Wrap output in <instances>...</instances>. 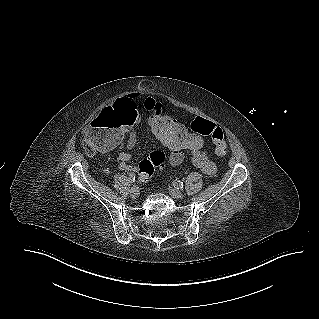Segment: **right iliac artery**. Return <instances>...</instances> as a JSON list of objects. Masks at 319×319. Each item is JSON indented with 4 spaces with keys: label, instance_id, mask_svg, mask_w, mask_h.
<instances>
[{
    "label": "right iliac artery",
    "instance_id": "obj_1",
    "mask_svg": "<svg viewBox=\"0 0 319 319\" xmlns=\"http://www.w3.org/2000/svg\"><path fill=\"white\" fill-rule=\"evenodd\" d=\"M129 179H130V182H134V180H135V175H134V174H130Z\"/></svg>",
    "mask_w": 319,
    "mask_h": 319
}]
</instances>
